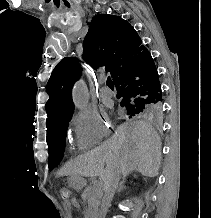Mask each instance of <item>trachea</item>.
Instances as JSON below:
<instances>
[{
	"label": "trachea",
	"instance_id": "3493384b",
	"mask_svg": "<svg viewBox=\"0 0 211 218\" xmlns=\"http://www.w3.org/2000/svg\"><path fill=\"white\" fill-rule=\"evenodd\" d=\"M106 84H113L112 80L110 77H107V81H106Z\"/></svg>",
	"mask_w": 211,
	"mask_h": 218
}]
</instances>
